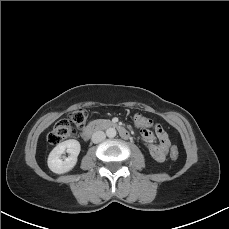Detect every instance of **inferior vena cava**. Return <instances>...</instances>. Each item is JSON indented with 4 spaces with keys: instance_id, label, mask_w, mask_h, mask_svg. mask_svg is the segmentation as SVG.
<instances>
[{
    "instance_id": "602c4592",
    "label": "inferior vena cava",
    "mask_w": 229,
    "mask_h": 229,
    "mask_svg": "<svg viewBox=\"0 0 229 229\" xmlns=\"http://www.w3.org/2000/svg\"><path fill=\"white\" fill-rule=\"evenodd\" d=\"M106 134L103 131H96L92 135V142L93 143H100L105 140Z\"/></svg>"
}]
</instances>
